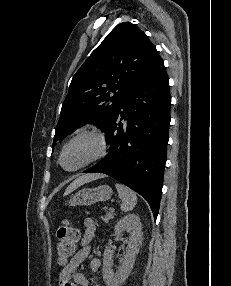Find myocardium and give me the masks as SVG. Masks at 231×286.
<instances>
[{
	"label": "myocardium",
	"instance_id": "obj_1",
	"mask_svg": "<svg viewBox=\"0 0 231 286\" xmlns=\"http://www.w3.org/2000/svg\"><path fill=\"white\" fill-rule=\"evenodd\" d=\"M83 137H91L93 138L96 143H97V151L96 153L89 158L87 161H85L84 163L80 164L79 166L72 168V169H67L64 167L63 165V156L64 153L66 151V149L75 141H77L78 139H81ZM108 151V142H107V138L105 136L104 133H102L101 131L95 129V128H85V129H81L79 131H77L76 133H74L70 138L67 139V141L63 144L60 154H59V165L67 172H77L80 171L84 168H86L87 166L103 159Z\"/></svg>",
	"mask_w": 231,
	"mask_h": 286
}]
</instances>
